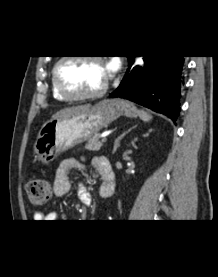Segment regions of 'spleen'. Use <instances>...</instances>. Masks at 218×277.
Returning <instances> with one entry per match:
<instances>
[{
	"label": "spleen",
	"mask_w": 218,
	"mask_h": 277,
	"mask_svg": "<svg viewBox=\"0 0 218 277\" xmlns=\"http://www.w3.org/2000/svg\"><path fill=\"white\" fill-rule=\"evenodd\" d=\"M138 116L140 117V119H142L144 122H149L152 119V116L144 111V110H139L138 111Z\"/></svg>",
	"instance_id": "1"
}]
</instances>
